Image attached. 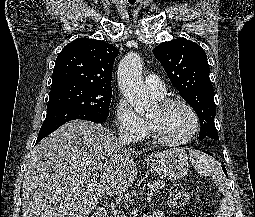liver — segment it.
<instances>
[{
	"mask_svg": "<svg viewBox=\"0 0 255 217\" xmlns=\"http://www.w3.org/2000/svg\"><path fill=\"white\" fill-rule=\"evenodd\" d=\"M136 177L130 151L118 147L109 129L85 120L67 122L30 153L22 217H85L105 194H123Z\"/></svg>",
	"mask_w": 255,
	"mask_h": 217,
	"instance_id": "obj_1",
	"label": "liver"
}]
</instances>
